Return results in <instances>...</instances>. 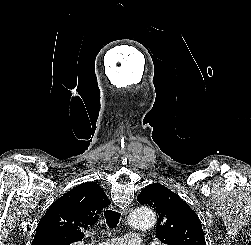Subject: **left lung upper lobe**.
Here are the masks:
<instances>
[{
  "instance_id": "obj_1",
  "label": "left lung upper lobe",
  "mask_w": 251,
  "mask_h": 245,
  "mask_svg": "<svg viewBox=\"0 0 251 245\" xmlns=\"http://www.w3.org/2000/svg\"><path fill=\"white\" fill-rule=\"evenodd\" d=\"M157 214L156 238L164 245H206L201 222L190 206L167 187L153 183L137 197Z\"/></svg>"
}]
</instances>
